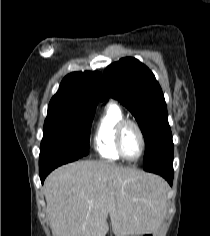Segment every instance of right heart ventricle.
Here are the masks:
<instances>
[{
  "label": "right heart ventricle",
  "instance_id": "1",
  "mask_svg": "<svg viewBox=\"0 0 210 236\" xmlns=\"http://www.w3.org/2000/svg\"><path fill=\"white\" fill-rule=\"evenodd\" d=\"M125 119L124 114L116 103H109L98 117L93 135V145L96 152L105 159H121L115 146L117 125Z\"/></svg>",
  "mask_w": 210,
  "mask_h": 236
}]
</instances>
